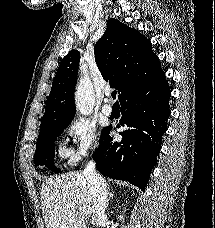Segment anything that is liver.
I'll use <instances>...</instances> for the list:
<instances>
[{
  "mask_svg": "<svg viewBox=\"0 0 215 228\" xmlns=\"http://www.w3.org/2000/svg\"><path fill=\"white\" fill-rule=\"evenodd\" d=\"M46 228H86L82 212H88L93 228L98 226L90 186L84 174L68 172L43 182L40 188ZM78 208V210H77Z\"/></svg>",
  "mask_w": 215,
  "mask_h": 228,
  "instance_id": "liver-1",
  "label": "liver"
}]
</instances>
